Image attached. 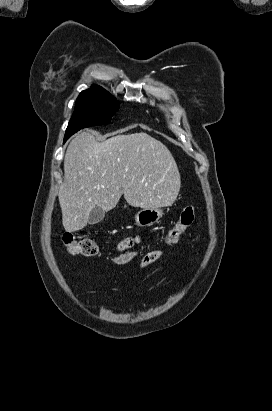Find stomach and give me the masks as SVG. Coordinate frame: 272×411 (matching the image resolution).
<instances>
[{
    "label": "stomach",
    "mask_w": 272,
    "mask_h": 411,
    "mask_svg": "<svg viewBox=\"0 0 272 411\" xmlns=\"http://www.w3.org/2000/svg\"><path fill=\"white\" fill-rule=\"evenodd\" d=\"M163 215L158 208L141 209L135 214V222L138 226L146 227L157 223Z\"/></svg>",
    "instance_id": "obj_1"
}]
</instances>
